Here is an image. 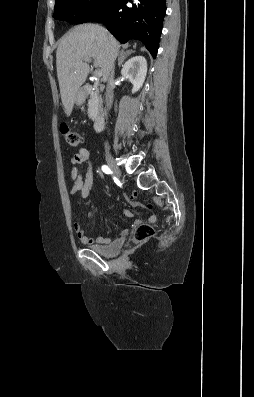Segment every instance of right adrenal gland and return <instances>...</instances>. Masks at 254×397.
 I'll return each mask as SVG.
<instances>
[{"label":"right adrenal gland","mask_w":254,"mask_h":397,"mask_svg":"<svg viewBox=\"0 0 254 397\" xmlns=\"http://www.w3.org/2000/svg\"><path fill=\"white\" fill-rule=\"evenodd\" d=\"M132 53H133L132 50H128V51H126V52H122V53L120 54L119 59H118V66H119V67L122 66V63H123L124 59L127 57V55H131Z\"/></svg>","instance_id":"2a0ac1e0"}]
</instances>
